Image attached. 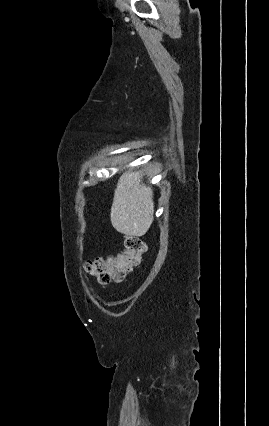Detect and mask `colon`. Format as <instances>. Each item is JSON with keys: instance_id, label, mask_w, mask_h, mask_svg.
I'll return each instance as SVG.
<instances>
[{"instance_id": "colon-1", "label": "colon", "mask_w": 269, "mask_h": 426, "mask_svg": "<svg viewBox=\"0 0 269 426\" xmlns=\"http://www.w3.org/2000/svg\"><path fill=\"white\" fill-rule=\"evenodd\" d=\"M123 251L115 255L96 257L85 265L87 274L98 284L121 282L127 273L140 263L147 250L146 243L138 236L125 235Z\"/></svg>"}]
</instances>
